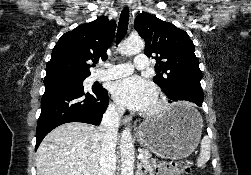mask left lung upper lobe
<instances>
[{"label":"left lung upper lobe","instance_id":"5c2ea615","mask_svg":"<svg viewBox=\"0 0 251 175\" xmlns=\"http://www.w3.org/2000/svg\"><path fill=\"white\" fill-rule=\"evenodd\" d=\"M134 27L145 40V54L159 64L153 80L163 91L177 84L202 89V72L194 44L185 31L145 12L137 15Z\"/></svg>","mask_w":251,"mask_h":175}]
</instances>
